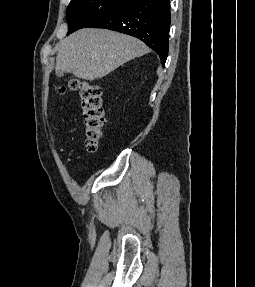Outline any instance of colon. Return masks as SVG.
Here are the masks:
<instances>
[{
    "instance_id": "1",
    "label": "colon",
    "mask_w": 255,
    "mask_h": 287,
    "mask_svg": "<svg viewBox=\"0 0 255 287\" xmlns=\"http://www.w3.org/2000/svg\"><path fill=\"white\" fill-rule=\"evenodd\" d=\"M67 89L79 93L85 146L93 153L98 149L105 124L102 90L98 85L78 78L70 79L66 86L59 88V93L63 94Z\"/></svg>"
}]
</instances>
